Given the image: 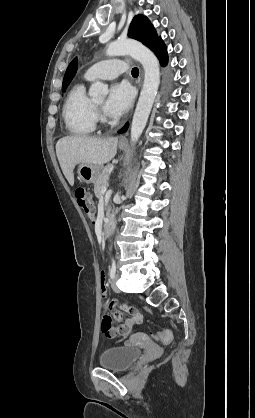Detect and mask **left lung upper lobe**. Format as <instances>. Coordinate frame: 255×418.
<instances>
[{
  "instance_id": "5c2ea615",
  "label": "left lung upper lobe",
  "mask_w": 255,
  "mask_h": 418,
  "mask_svg": "<svg viewBox=\"0 0 255 418\" xmlns=\"http://www.w3.org/2000/svg\"><path fill=\"white\" fill-rule=\"evenodd\" d=\"M128 36L142 42L152 51L163 43L161 37L157 36L153 25L143 15H137L133 18L129 27Z\"/></svg>"
}]
</instances>
